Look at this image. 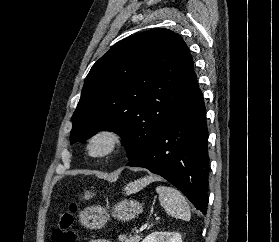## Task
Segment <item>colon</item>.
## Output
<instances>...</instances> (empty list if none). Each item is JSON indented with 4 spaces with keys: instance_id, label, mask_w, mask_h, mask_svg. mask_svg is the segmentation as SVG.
I'll return each mask as SVG.
<instances>
[{
    "instance_id": "obj_1",
    "label": "colon",
    "mask_w": 279,
    "mask_h": 242,
    "mask_svg": "<svg viewBox=\"0 0 279 242\" xmlns=\"http://www.w3.org/2000/svg\"><path fill=\"white\" fill-rule=\"evenodd\" d=\"M76 203H71L67 210L62 211L58 217V225L53 230L50 242H76V236L72 229Z\"/></svg>"
}]
</instances>
